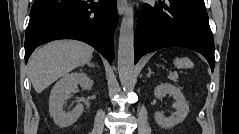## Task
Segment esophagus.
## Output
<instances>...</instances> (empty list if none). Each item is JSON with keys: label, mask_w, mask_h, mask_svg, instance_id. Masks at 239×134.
Instances as JSON below:
<instances>
[{"label": "esophagus", "mask_w": 239, "mask_h": 134, "mask_svg": "<svg viewBox=\"0 0 239 134\" xmlns=\"http://www.w3.org/2000/svg\"><path fill=\"white\" fill-rule=\"evenodd\" d=\"M127 6L126 0H117V10L119 15H122L125 12Z\"/></svg>", "instance_id": "obj_1"}]
</instances>
